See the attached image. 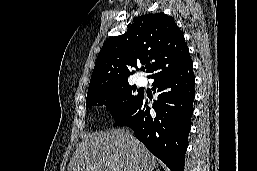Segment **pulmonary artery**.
Instances as JSON below:
<instances>
[{
	"instance_id": "e3ab8cb5",
	"label": "pulmonary artery",
	"mask_w": 257,
	"mask_h": 171,
	"mask_svg": "<svg viewBox=\"0 0 257 171\" xmlns=\"http://www.w3.org/2000/svg\"><path fill=\"white\" fill-rule=\"evenodd\" d=\"M145 79L144 78H142V77H139L138 79H137V84L139 85V86H144L145 85Z\"/></svg>"
}]
</instances>
